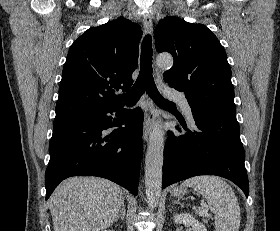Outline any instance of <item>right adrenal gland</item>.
<instances>
[{
  "instance_id": "1",
  "label": "right adrenal gland",
  "mask_w": 280,
  "mask_h": 231,
  "mask_svg": "<svg viewBox=\"0 0 280 231\" xmlns=\"http://www.w3.org/2000/svg\"><path fill=\"white\" fill-rule=\"evenodd\" d=\"M125 213H126V209L124 207V203H122L121 209H120V211H118V213H117V215H116V217L114 219L115 223H117L119 217H121V219H124Z\"/></svg>"
}]
</instances>
